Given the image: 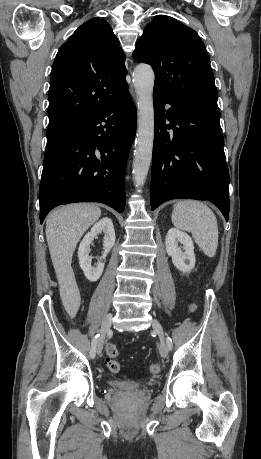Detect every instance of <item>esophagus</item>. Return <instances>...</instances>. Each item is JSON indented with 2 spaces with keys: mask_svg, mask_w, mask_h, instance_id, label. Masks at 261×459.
I'll return each instance as SVG.
<instances>
[{
  "mask_svg": "<svg viewBox=\"0 0 261 459\" xmlns=\"http://www.w3.org/2000/svg\"><path fill=\"white\" fill-rule=\"evenodd\" d=\"M130 92H131V95H132L133 97H135V93H134V90H133L132 88L130 89Z\"/></svg>",
  "mask_w": 261,
  "mask_h": 459,
  "instance_id": "esophagus-1",
  "label": "esophagus"
}]
</instances>
